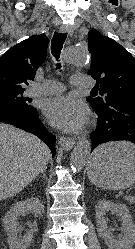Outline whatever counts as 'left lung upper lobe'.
I'll return each instance as SVG.
<instances>
[{
	"mask_svg": "<svg viewBox=\"0 0 135 249\" xmlns=\"http://www.w3.org/2000/svg\"><path fill=\"white\" fill-rule=\"evenodd\" d=\"M88 50L92 55L88 74L97 80L96 93L87 98L91 106L102 110L115 102L135 103V58L95 29L88 33Z\"/></svg>",
	"mask_w": 135,
	"mask_h": 249,
	"instance_id": "obj_1",
	"label": "left lung upper lobe"
}]
</instances>
